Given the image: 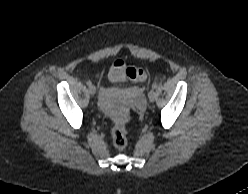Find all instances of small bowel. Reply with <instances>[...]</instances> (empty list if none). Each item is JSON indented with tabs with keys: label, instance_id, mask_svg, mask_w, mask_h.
I'll list each match as a JSON object with an SVG mask.
<instances>
[{
	"label": "small bowel",
	"instance_id": "obj_1",
	"mask_svg": "<svg viewBox=\"0 0 248 194\" xmlns=\"http://www.w3.org/2000/svg\"><path fill=\"white\" fill-rule=\"evenodd\" d=\"M146 74L141 69L126 67L124 61L117 60L109 71V80L120 83L125 80H130L134 83L143 82Z\"/></svg>",
	"mask_w": 248,
	"mask_h": 194
}]
</instances>
